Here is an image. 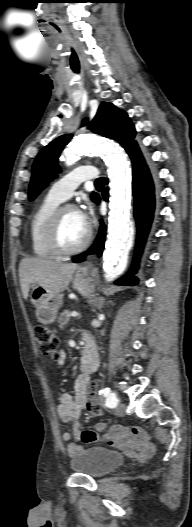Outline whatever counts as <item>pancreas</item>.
Instances as JSON below:
<instances>
[{
  "label": "pancreas",
  "instance_id": "obj_1",
  "mask_svg": "<svg viewBox=\"0 0 192 527\" xmlns=\"http://www.w3.org/2000/svg\"><path fill=\"white\" fill-rule=\"evenodd\" d=\"M71 312L69 310H65L60 314V317L58 319L59 327H64L69 322Z\"/></svg>",
  "mask_w": 192,
  "mask_h": 527
}]
</instances>
